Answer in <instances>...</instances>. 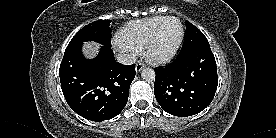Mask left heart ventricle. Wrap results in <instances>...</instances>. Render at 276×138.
Listing matches in <instances>:
<instances>
[{"label": "left heart ventricle", "mask_w": 276, "mask_h": 138, "mask_svg": "<svg viewBox=\"0 0 276 138\" xmlns=\"http://www.w3.org/2000/svg\"><path fill=\"white\" fill-rule=\"evenodd\" d=\"M180 35V26L175 20H170L162 27L157 42L154 47V53L166 54L175 46Z\"/></svg>", "instance_id": "1"}]
</instances>
